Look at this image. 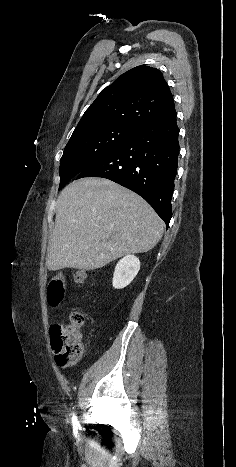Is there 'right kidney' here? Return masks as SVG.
<instances>
[{"label": "right kidney", "mask_w": 236, "mask_h": 467, "mask_svg": "<svg viewBox=\"0 0 236 467\" xmlns=\"http://www.w3.org/2000/svg\"><path fill=\"white\" fill-rule=\"evenodd\" d=\"M140 270V261L134 255L123 257L116 265L113 276V287L122 289L129 285Z\"/></svg>", "instance_id": "right-kidney-1"}]
</instances>
